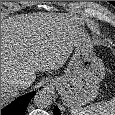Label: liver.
I'll list each match as a JSON object with an SVG mask.
<instances>
[{"instance_id":"obj_1","label":"liver","mask_w":115,"mask_h":115,"mask_svg":"<svg viewBox=\"0 0 115 115\" xmlns=\"http://www.w3.org/2000/svg\"><path fill=\"white\" fill-rule=\"evenodd\" d=\"M82 33L77 22L63 15L26 14L2 20L1 107L19 95L16 79L23 78L30 86L36 72L62 67Z\"/></svg>"}]
</instances>
